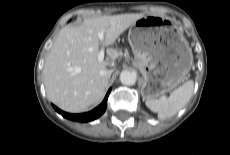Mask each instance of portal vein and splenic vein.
Listing matches in <instances>:
<instances>
[{"instance_id":"1","label":"portal vein and splenic vein","mask_w":230,"mask_h":155,"mask_svg":"<svg viewBox=\"0 0 230 155\" xmlns=\"http://www.w3.org/2000/svg\"><path fill=\"white\" fill-rule=\"evenodd\" d=\"M98 37L101 41H103L104 40V32L101 31L100 33H98ZM104 55H105V50H104V46H102L101 50L98 53V60L103 61Z\"/></svg>"}]
</instances>
